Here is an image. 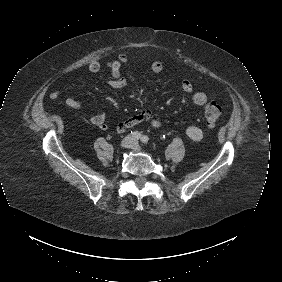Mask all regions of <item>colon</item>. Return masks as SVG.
<instances>
[{
	"label": "colon",
	"instance_id": "obj_1",
	"mask_svg": "<svg viewBox=\"0 0 282 282\" xmlns=\"http://www.w3.org/2000/svg\"><path fill=\"white\" fill-rule=\"evenodd\" d=\"M221 106L215 100H207L204 106V115L210 127H214L221 118Z\"/></svg>",
	"mask_w": 282,
	"mask_h": 282
}]
</instances>
